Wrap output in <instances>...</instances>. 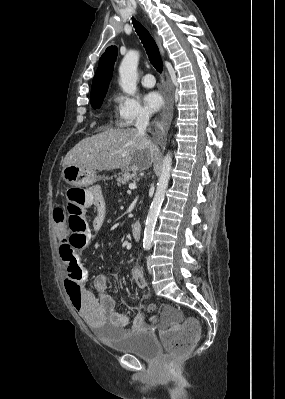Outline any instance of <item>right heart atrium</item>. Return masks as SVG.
Segmentation results:
<instances>
[{
	"mask_svg": "<svg viewBox=\"0 0 285 399\" xmlns=\"http://www.w3.org/2000/svg\"><path fill=\"white\" fill-rule=\"evenodd\" d=\"M116 103V121L119 126L129 127L137 121L149 118V112L132 96L117 93L114 97Z\"/></svg>",
	"mask_w": 285,
	"mask_h": 399,
	"instance_id": "obj_1",
	"label": "right heart atrium"
}]
</instances>
